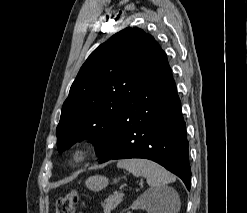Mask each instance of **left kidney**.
<instances>
[{"instance_id": "obj_1", "label": "left kidney", "mask_w": 247, "mask_h": 213, "mask_svg": "<svg viewBox=\"0 0 247 213\" xmlns=\"http://www.w3.org/2000/svg\"><path fill=\"white\" fill-rule=\"evenodd\" d=\"M162 196L158 190H148L133 202L131 209L143 208L148 213H161Z\"/></svg>"}]
</instances>
